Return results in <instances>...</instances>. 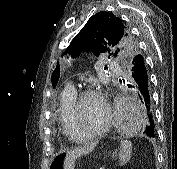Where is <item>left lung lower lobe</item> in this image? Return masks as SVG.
<instances>
[{
    "label": "left lung lower lobe",
    "mask_w": 177,
    "mask_h": 169,
    "mask_svg": "<svg viewBox=\"0 0 177 169\" xmlns=\"http://www.w3.org/2000/svg\"><path fill=\"white\" fill-rule=\"evenodd\" d=\"M128 68L130 70L131 77L135 85L133 87H135V89L137 90L139 100L145 109V116L148 123L144 128L143 133L149 137H155L156 129L152 113L149 76L144 57L140 54L135 55L128 62Z\"/></svg>",
    "instance_id": "0a47b994"
}]
</instances>
